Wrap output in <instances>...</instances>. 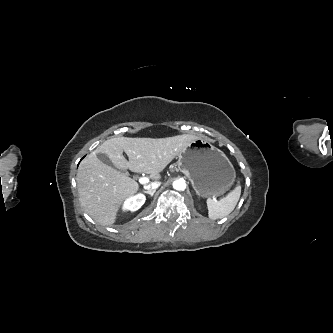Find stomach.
Returning a JSON list of instances; mask_svg holds the SVG:
<instances>
[{"label":"stomach","mask_w":333,"mask_h":333,"mask_svg":"<svg viewBox=\"0 0 333 333\" xmlns=\"http://www.w3.org/2000/svg\"><path fill=\"white\" fill-rule=\"evenodd\" d=\"M177 165L191 181L196 194L203 198L223 195L236 177L235 169L225 153L201 137L179 153Z\"/></svg>","instance_id":"0dacf381"}]
</instances>
